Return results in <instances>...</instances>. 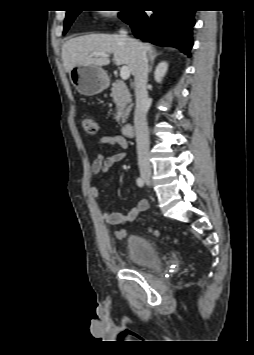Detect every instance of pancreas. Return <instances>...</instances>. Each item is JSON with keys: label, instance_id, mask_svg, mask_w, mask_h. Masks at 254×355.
Masks as SVG:
<instances>
[{"label": "pancreas", "instance_id": "cf45deb5", "mask_svg": "<svg viewBox=\"0 0 254 355\" xmlns=\"http://www.w3.org/2000/svg\"><path fill=\"white\" fill-rule=\"evenodd\" d=\"M111 97L113 98V102L116 104L117 109L115 120L119 124L126 123L132 108V99L129 89L123 81L116 80L112 84Z\"/></svg>", "mask_w": 254, "mask_h": 355}]
</instances>
